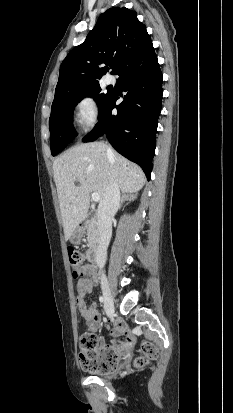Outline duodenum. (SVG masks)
I'll return each mask as SVG.
<instances>
[{"mask_svg":"<svg viewBox=\"0 0 233 413\" xmlns=\"http://www.w3.org/2000/svg\"><path fill=\"white\" fill-rule=\"evenodd\" d=\"M85 226H86V223H85L84 221H82V222L79 223V228H80V229H84ZM97 254H98L97 248H96V247H93V248L91 249V251H90V257H91V259L95 261V260L97 259Z\"/></svg>","mask_w":233,"mask_h":413,"instance_id":"obj_1","label":"duodenum"}]
</instances>
